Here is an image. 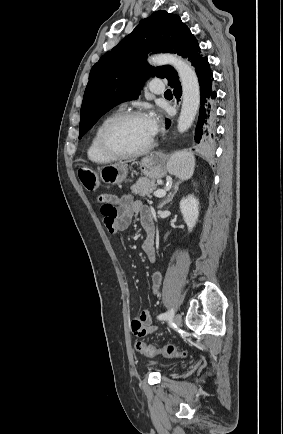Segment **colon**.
<instances>
[{
    "mask_svg": "<svg viewBox=\"0 0 283 434\" xmlns=\"http://www.w3.org/2000/svg\"><path fill=\"white\" fill-rule=\"evenodd\" d=\"M79 178L83 184V186L89 190L93 191L98 186V178L95 170L89 167H82L78 171ZM135 349L147 356L154 357L156 355H164L166 357H184L186 356V352H178L173 345H166L161 348H156L151 345H147L142 341H138L135 344Z\"/></svg>",
    "mask_w": 283,
    "mask_h": 434,
    "instance_id": "1",
    "label": "colon"
}]
</instances>
